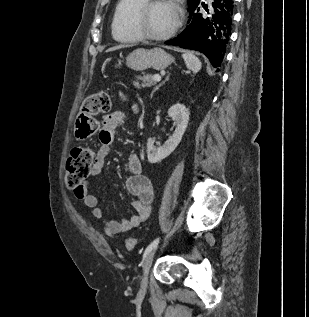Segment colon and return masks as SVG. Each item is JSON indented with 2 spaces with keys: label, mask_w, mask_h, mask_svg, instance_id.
I'll return each instance as SVG.
<instances>
[{
  "label": "colon",
  "mask_w": 309,
  "mask_h": 317,
  "mask_svg": "<svg viewBox=\"0 0 309 317\" xmlns=\"http://www.w3.org/2000/svg\"><path fill=\"white\" fill-rule=\"evenodd\" d=\"M112 107V99L105 92H97L89 95L82 104L81 113L76 120V136L85 139L93 135L98 122L95 116L108 112ZM95 160L94 151L85 146L75 147L71 150L66 163L65 182L68 188L77 190L82 186L86 178L91 174ZM129 249L135 248L133 238L126 241Z\"/></svg>",
  "instance_id": "5ec220e1"
}]
</instances>
